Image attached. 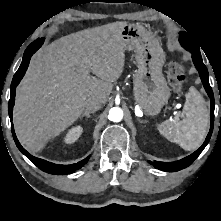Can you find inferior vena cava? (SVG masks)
<instances>
[{
  "label": "inferior vena cava",
  "instance_id": "inferior-vena-cava-1",
  "mask_svg": "<svg viewBox=\"0 0 221 221\" xmlns=\"http://www.w3.org/2000/svg\"><path fill=\"white\" fill-rule=\"evenodd\" d=\"M103 101L100 98H89L85 102V107L89 111H97L101 108Z\"/></svg>",
  "mask_w": 221,
  "mask_h": 221
}]
</instances>
